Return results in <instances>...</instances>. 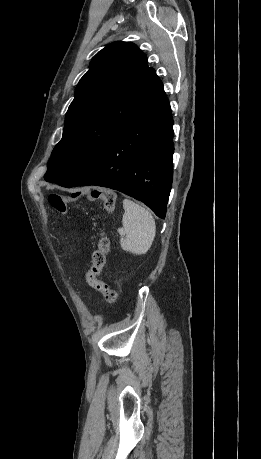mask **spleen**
Returning a JSON list of instances; mask_svg holds the SVG:
<instances>
[{
	"label": "spleen",
	"mask_w": 261,
	"mask_h": 459,
	"mask_svg": "<svg viewBox=\"0 0 261 459\" xmlns=\"http://www.w3.org/2000/svg\"><path fill=\"white\" fill-rule=\"evenodd\" d=\"M122 228H118L121 248L132 254H145L156 236L155 220L149 210L130 199L123 200Z\"/></svg>",
	"instance_id": "1"
}]
</instances>
